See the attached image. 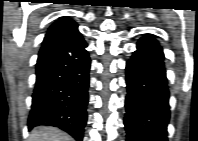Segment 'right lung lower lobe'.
<instances>
[{"instance_id": "obj_1", "label": "right lung lower lobe", "mask_w": 198, "mask_h": 141, "mask_svg": "<svg viewBox=\"0 0 198 141\" xmlns=\"http://www.w3.org/2000/svg\"><path fill=\"white\" fill-rule=\"evenodd\" d=\"M80 32L41 47L28 128L59 127L82 141L87 121L90 58Z\"/></svg>"}]
</instances>
